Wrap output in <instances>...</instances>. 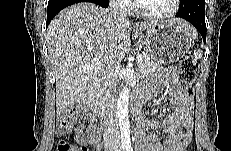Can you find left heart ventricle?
<instances>
[{"instance_id": "b2bd125f", "label": "left heart ventricle", "mask_w": 231, "mask_h": 151, "mask_svg": "<svg viewBox=\"0 0 231 151\" xmlns=\"http://www.w3.org/2000/svg\"><path fill=\"white\" fill-rule=\"evenodd\" d=\"M142 9L151 14H161L171 8L172 0H141Z\"/></svg>"}]
</instances>
